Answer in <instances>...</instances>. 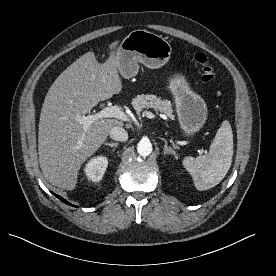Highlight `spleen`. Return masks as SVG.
I'll list each match as a JSON object with an SVG mask.
<instances>
[{
    "label": "spleen",
    "mask_w": 276,
    "mask_h": 276,
    "mask_svg": "<svg viewBox=\"0 0 276 276\" xmlns=\"http://www.w3.org/2000/svg\"><path fill=\"white\" fill-rule=\"evenodd\" d=\"M233 133L228 120L217 130L207 155L196 158L188 156L183 160L184 168L191 174L198 190H208L227 174L233 158Z\"/></svg>",
    "instance_id": "3e777b00"
}]
</instances>
